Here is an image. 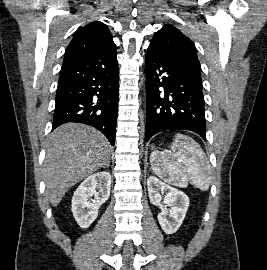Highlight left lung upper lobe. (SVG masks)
I'll use <instances>...</instances> for the list:
<instances>
[{"mask_svg": "<svg viewBox=\"0 0 267 270\" xmlns=\"http://www.w3.org/2000/svg\"><path fill=\"white\" fill-rule=\"evenodd\" d=\"M149 47L201 79V65L194 44L174 26L164 25L155 33Z\"/></svg>", "mask_w": 267, "mask_h": 270, "instance_id": "5c2ea615", "label": "left lung upper lobe"}]
</instances>
